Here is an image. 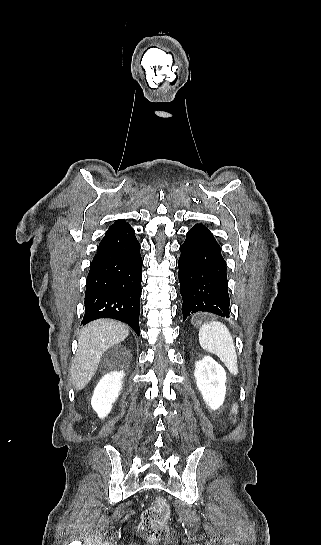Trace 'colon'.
<instances>
[{
  "label": "colon",
  "instance_id": "obj_1",
  "mask_svg": "<svg viewBox=\"0 0 321 545\" xmlns=\"http://www.w3.org/2000/svg\"><path fill=\"white\" fill-rule=\"evenodd\" d=\"M170 516V509L165 500L159 498L147 507L139 525L140 533L151 541H162L168 534L166 521Z\"/></svg>",
  "mask_w": 321,
  "mask_h": 545
}]
</instances>
